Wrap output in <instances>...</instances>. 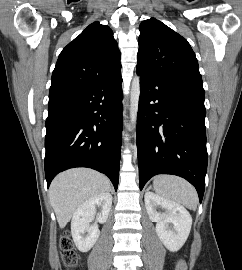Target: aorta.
Segmentation results:
<instances>
[{
  "label": "aorta",
  "mask_w": 242,
  "mask_h": 270,
  "mask_svg": "<svg viewBox=\"0 0 242 270\" xmlns=\"http://www.w3.org/2000/svg\"><path fill=\"white\" fill-rule=\"evenodd\" d=\"M140 97V78L135 76L131 85L130 95V119L132 126H135L138 114V105Z\"/></svg>",
  "instance_id": "1"
}]
</instances>
